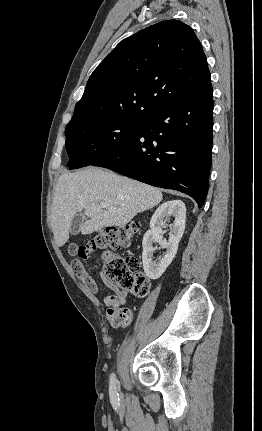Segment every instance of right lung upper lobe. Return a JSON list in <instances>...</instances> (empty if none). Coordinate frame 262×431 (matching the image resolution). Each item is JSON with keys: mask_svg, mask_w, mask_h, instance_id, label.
I'll return each mask as SVG.
<instances>
[{"mask_svg": "<svg viewBox=\"0 0 262 431\" xmlns=\"http://www.w3.org/2000/svg\"><path fill=\"white\" fill-rule=\"evenodd\" d=\"M200 41L178 20L154 24L121 41L91 74L67 126L111 118L143 119L210 85Z\"/></svg>", "mask_w": 262, "mask_h": 431, "instance_id": "right-lung-upper-lobe-1", "label": "right lung upper lobe"}]
</instances>
